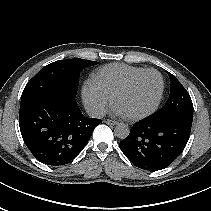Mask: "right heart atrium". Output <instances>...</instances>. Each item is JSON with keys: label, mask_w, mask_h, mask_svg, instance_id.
<instances>
[{"label": "right heart atrium", "mask_w": 211, "mask_h": 211, "mask_svg": "<svg viewBox=\"0 0 211 211\" xmlns=\"http://www.w3.org/2000/svg\"><path fill=\"white\" fill-rule=\"evenodd\" d=\"M82 95L87 108L96 115L103 114L112 99L111 95L93 80L85 83Z\"/></svg>", "instance_id": "right-heart-atrium-1"}]
</instances>
